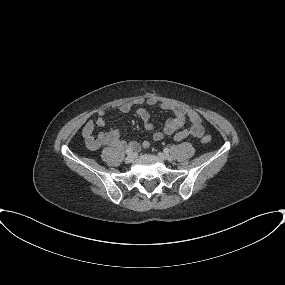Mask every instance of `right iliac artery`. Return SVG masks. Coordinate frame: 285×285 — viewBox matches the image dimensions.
Instances as JSON below:
<instances>
[{
  "label": "right iliac artery",
  "instance_id": "82829eb1",
  "mask_svg": "<svg viewBox=\"0 0 285 285\" xmlns=\"http://www.w3.org/2000/svg\"><path fill=\"white\" fill-rule=\"evenodd\" d=\"M131 153H133V149L127 148V149H126V154H131Z\"/></svg>",
  "mask_w": 285,
  "mask_h": 285
}]
</instances>
